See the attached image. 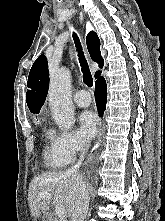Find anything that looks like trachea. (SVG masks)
Returning <instances> with one entry per match:
<instances>
[{"label": "trachea", "mask_w": 165, "mask_h": 221, "mask_svg": "<svg viewBox=\"0 0 165 221\" xmlns=\"http://www.w3.org/2000/svg\"><path fill=\"white\" fill-rule=\"evenodd\" d=\"M73 39H74V43H75L77 51H78L81 71L83 73V82L88 87H92L93 86V78H92L91 72L89 70V66L87 64V61L85 59L84 53L82 51L81 43H80L79 38L76 33L73 34Z\"/></svg>", "instance_id": "obj_1"}]
</instances>
